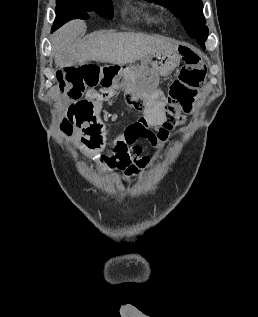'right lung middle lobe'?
Segmentation results:
<instances>
[{
	"label": "right lung middle lobe",
	"mask_w": 258,
	"mask_h": 317,
	"mask_svg": "<svg viewBox=\"0 0 258 317\" xmlns=\"http://www.w3.org/2000/svg\"><path fill=\"white\" fill-rule=\"evenodd\" d=\"M56 4L57 6L63 4H73L84 8L86 11H98L100 16L104 18H113L111 0H56Z\"/></svg>",
	"instance_id": "dd1d6c3e"
}]
</instances>
